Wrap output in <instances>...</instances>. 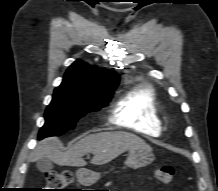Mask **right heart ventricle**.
<instances>
[{"mask_svg":"<svg viewBox=\"0 0 218 191\" xmlns=\"http://www.w3.org/2000/svg\"><path fill=\"white\" fill-rule=\"evenodd\" d=\"M113 121L143 135H159L163 120L154 89L143 85L125 94L113 110Z\"/></svg>","mask_w":218,"mask_h":191,"instance_id":"obj_1","label":"right heart ventricle"}]
</instances>
